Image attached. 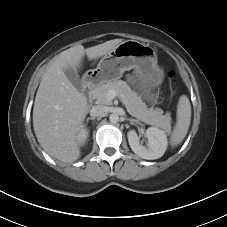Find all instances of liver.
<instances>
[{
  "label": "liver",
  "mask_w": 227,
  "mask_h": 227,
  "mask_svg": "<svg viewBox=\"0 0 227 227\" xmlns=\"http://www.w3.org/2000/svg\"><path fill=\"white\" fill-rule=\"evenodd\" d=\"M121 42L113 39L87 49L71 47L57 55L43 75L34 102L33 127L39 144L53 158L65 163L79 159V132L88 112L87 99L65 70L80 67L85 54L89 60L97 59Z\"/></svg>",
  "instance_id": "6515ba94"
}]
</instances>
